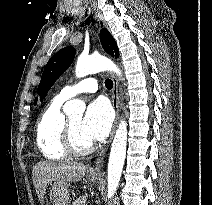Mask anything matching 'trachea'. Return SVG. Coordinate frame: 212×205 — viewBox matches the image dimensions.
I'll list each match as a JSON object with an SVG mask.
<instances>
[{
  "label": "trachea",
  "mask_w": 212,
  "mask_h": 205,
  "mask_svg": "<svg viewBox=\"0 0 212 205\" xmlns=\"http://www.w3.org/2000/svg\"><path fill=\"white\" fill-rule=\"evenodd\" d=\"M105 86L107 89H112L113 88V81L111 79H106L105 80Z\"/></svg>",
  "instance_id": "trachea-1"
}]
</instances>
